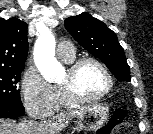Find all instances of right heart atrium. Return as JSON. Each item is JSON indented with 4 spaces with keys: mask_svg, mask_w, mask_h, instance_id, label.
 <instances>
[{
    "mask_svg": "<svg viewBox=\"0 0 153 134\" xmlns=\"http://www.w3.org/2000/svg\"><path fill=\"white\" fill-rule=\"evenodd\" d=\"M21 95L26 111L33 117L45 118L56 108L54 87L34 67H29L23 75Z\"/></svg>",
    "mask_w": 153,
    "mask_h": 134,
    "instance_id": "d8ad5b80",
    "label": "right heart atrium"
}]
</instances>
